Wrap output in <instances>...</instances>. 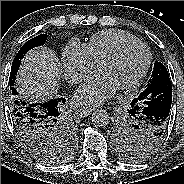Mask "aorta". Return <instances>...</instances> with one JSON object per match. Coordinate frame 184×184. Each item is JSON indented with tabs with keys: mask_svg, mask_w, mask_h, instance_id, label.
Wrapping results in <instances>:
<instances>
[{
	"mask_svg": "<svg viewBox=\"0 0 184 184\" xmlns=\"http://www.w3.org/2000/svg\"><path fill=\"white\" fill-rule=\"evenodd\" d=\"M91 120L95 127H105L110 122V115L106 110H96L93 112Z\"/></svg>",
	"mask_w": 184,
	"mask_h": 184,
	"instance_id": "obj_1",
	"label": "aorta"
}]
</instances>
